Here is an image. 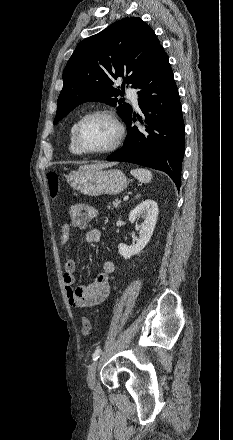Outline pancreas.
<instances>
[{"label":"pancreas","instance_id":"obj_1","mask_svg":"<svg viewBox=\"0 0 233 440\" xmlns=\"http://www.w3.org/2000/svg\"><path fill=\"white\" fill-rule=\"evenodd\" d=\"M119 206H120V201L116 199V200L112 203V205H108L107 208L112 210V209H114V208H118Z\"/></svg>","mask_w":233,"mask_h":440}]
</instances>
